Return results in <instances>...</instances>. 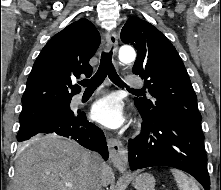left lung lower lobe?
<instances>
[{
    "instance_id": "0a47b994",
    "label": "left lung lower lobe",
    "mask_w": 221,
    "mask_h": 190,
    "mask_svg": "<svg viewBox=\"0 0 221 190\" xmlns=\"http://www.w3.org/2000/svg\"><path fill=\"white\" fill-rule=\"evenodd\" d=\"M140 114L142 131L138 137L129 140L130 169L174 167L191 174L205 190H210L202 130L178 118H151Z\"/></svg>"
}]
</instances>
